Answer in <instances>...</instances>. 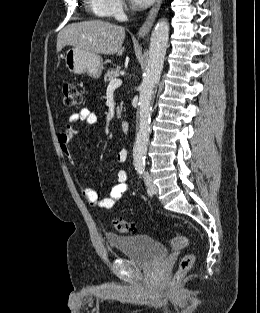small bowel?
I'll return each mask as SVG.
<instances>
[{"instance_id":"c3829d8e","label":"small bowel","mask_w":260,"mask_h":313,"mask_svg":"<svg viewBox=\"0 0 260 313\" xmlns=\"http://www.w3.org/2000/svg\"><path fill=\"white\" fill-rule=\"evenodd\" d=\"M98 119L95 113L89 109H82L77 113H73L69 117V124L60 132L57 136V141L62 153L66 156L71 164H74V159L69 150V143L75 135V125L79 123H85L87 125L97 124ZM128 152L126 149H119L116 153V160L119 163H124L127 160ZM76 182L81 190L84 200L91 206L100 209H110L114 207L124 194L129 190L127 184L128 175L126 171L120 170L116 174V184L112 188L110 194L106 198H99L97 192L88 186L84 180L76 174Z\"/></svg>"}]
</instances>
